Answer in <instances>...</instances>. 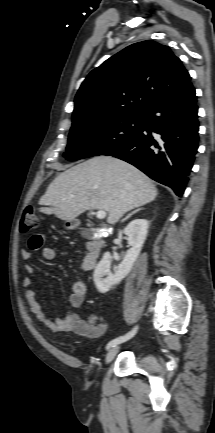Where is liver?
<instances>
[{
  "label": "liver",
  "mask_w": 215,
  "mask_h": 433,
  "mask_svg": "<svg viewBox=\"0 0 215 433\" xmlns=\"http://www.w3.org/2000/svg\"><path fill=\"white\" fill-rule=\"evenodd\" d=\"M152 181L134 166L111 156H96L60 173L41 197L40 212L73 220L87 210L108 213L115 224L128 211L155 200Z\"/></svg>",
  "instance_id": "liver-1"
}]
</instances>
